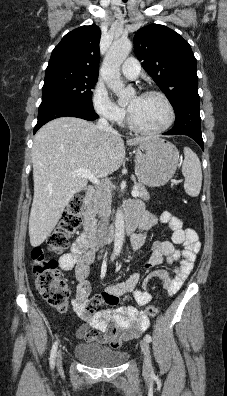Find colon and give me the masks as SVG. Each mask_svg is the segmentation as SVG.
<instances>
[{"instance_id": "1", "label": "colon", "mask_w": 227, "mask_h": 396, "mask_svg": "<svg viewBox=\"0 0 227 396\" xmlns=\"http://www.w3.org/2000/svg\"><path fill=\"white\" fill-rule=\"evenodd\" d=\"M82 215L83 198L77 195L71 199L60 222L47 240V247L51 252L59 254L68 248L70 238L82 223ZM32 260L36 288L50 306L65 312L70 293L58 269V262L48 258L40 246L32 250ZM157 311L153 304L145 307V312L149 316H155Z\"/></svg>"}]
</instances>
